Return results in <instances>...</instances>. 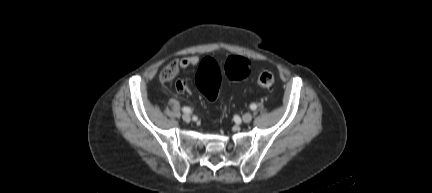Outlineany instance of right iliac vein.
I'll use <instances>...</instances> for the list:
<instances>
[{
  "instance_id": "obj_1",
  "label": "right iliac vein",
  "mask_w": 432,
  "mask_h": 193,
  "mask_svg": "<svg viewBox=\"0 0 432 193\" xmlns=\"http://www.w3.org/2000/svg\"><path fill=\"white\" fill-rule=\"evenodd\" d=\"M182 119L185 122H190L191 121V116L188 113L183 114Z\"/></svg>"
}]
</instances>
